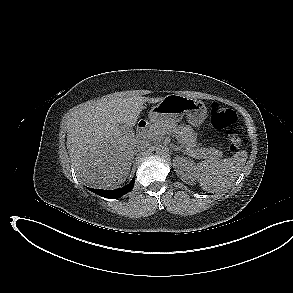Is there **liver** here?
<instances>
[{"mask_svg":"<svg viewBox=\"0 0 293 293\" xmlns=\"http://www.w3.org/2000/svg\"><path fill=\"white\" fill-rule=\"evenodd\" d=\"M162 99L121 92L88 101L77 108L68 120L67 148L79 176L102 188L125 182L137 140L118 125L131 129L144 103H157Z\"/></svg>","mask_w":293,"mask_h":293,"instance_id":"6515ba94","label":"liver"}]
</instances>
